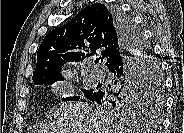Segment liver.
Listing matches in <instances>:
<instances>
[{"instance_id":"obj_1","label":"liver","mask_w":184,"mask_h":133,"mask_svg":"<svg viewBox=\"0 0 184 133\" xmlns=\"http://www.w3.org/2000/svg\"><path fill=\"white\" fill-rule=\"evenodd\" d=\"M54 121L45 133H130L131 130L114 123L109 114L96 111L86 103H60L54 108Z\"/></svg>"}]
</instances>
